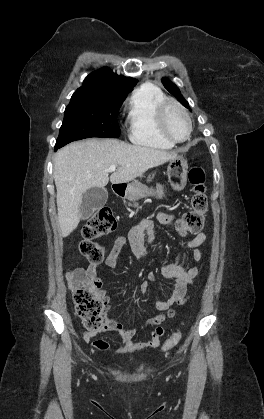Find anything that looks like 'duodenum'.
Returning <instances> with one entry per match:
<instances>
[{
  "label": "duodenum",
  "mask_w": 264,
  "mask_h": 419,
  "mask_svg": "<svg viewBox=\"0 0 264 419\" xmlns=\"http://www.w3.org/2000/svg\"><path fill=\"white\" fill-rule=\"evenodd\" d=\"M125 193V186L124 185H115L114 186V194L116 196H123Z\"/></svg>",
  "instance_id": "obj_1"
}]
</instances>
